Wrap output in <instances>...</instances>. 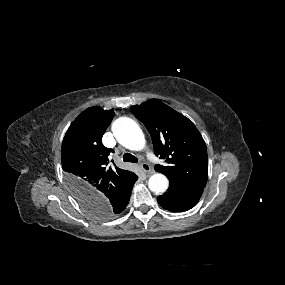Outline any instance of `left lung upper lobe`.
Returning <instances> with one entry per match:
<instances>
[{
    "mask_svg": "<svg viewBox=\"0 0 285 285\" xmlns=\"http://www.w3.org/2000/svg\"><path fill=\"white\" fill-rule=\"evenodd\" d=\"M132 114L149 131L154 152L166 164L155 170L169 180L204 188L208 178L206 144L195 127L185 116L159 100H149L131 107Z\"/></svg>",
    "mask_w": 285,
    "mask_h": 285,
    "instance_id": "left-lung-upper-lobe-1",
    "label": "left lung upper lobe"
}]
</instances>
